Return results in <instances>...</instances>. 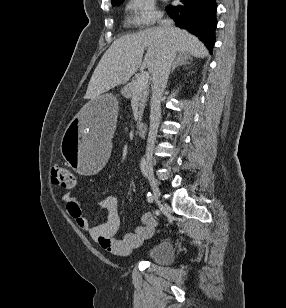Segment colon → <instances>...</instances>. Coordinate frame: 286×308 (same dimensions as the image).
Segmentation results:
<instances>
[{
    "instance_id": "1",
    "label": "colon",
    "mask_w": 286,
    "mask_h": 308,
    "mask_svg": "<svg viewBox=\"0 0 286 308\" xmlns=\"http://www.w3.org/2000/svg\"><path fill=\"white\" fill-rule=\"evenodd\" d=\"M52 182L55 186L72 189L76 185L75 175L73 171L65 167H54L51 171Z\"/></svg>"
}]
</instances>
